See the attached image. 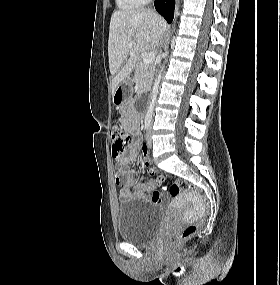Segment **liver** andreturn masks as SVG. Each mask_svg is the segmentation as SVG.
<instances>
[{"label":"liver","instance_id":"6515ba94","mask_svg":"<svg viewBox=\"0 0 280 285\" xmlns=\"http://www.w3.org/2000/svg\"><path fill=\"white\" fill-rule=\"evenodd\" d=\"M166 28L164 19L147 9L120 10L112 14L108 40L109 69L114 75L112 95L135 67L139 54L153 50ZM130 42H133L132 48H128Z\"/></svg>","mask_w":280,"mask_h":285}]
</instances>
